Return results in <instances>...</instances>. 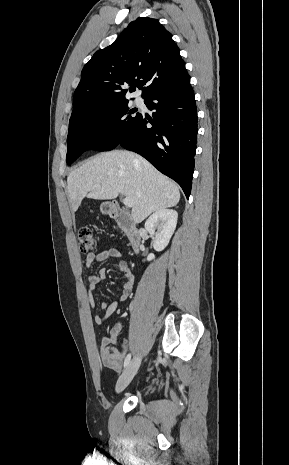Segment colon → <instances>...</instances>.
<instances>
[{
	"label": "colon",
	"mask_w": 289,
	"mask_h": 465,
	"mask_svg": "<svg viewBox=\"0 0 289 465\" xmlns=\"http://www.w3.org/2000/svg\"><path fill=\"white\" fill-rule=\"evenodd\" d=\"M79 248L82 252H89L96 247L92 231L87 227L78 230Z\"/></svg>",
	"instance_id": "obj_1"
}]
</instances>
